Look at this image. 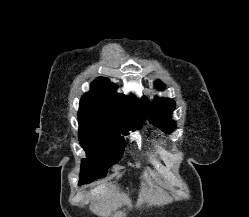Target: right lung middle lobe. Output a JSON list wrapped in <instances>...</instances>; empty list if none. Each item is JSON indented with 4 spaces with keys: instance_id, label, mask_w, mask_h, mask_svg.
I'll return each instance as SVG.
<instances>
[{
    "instance_id": "right-lung-middle-lobe-1",
    "label": "right lung middle lobe",
    "mask_w": 249,
    "mask_h": 217,
    "mask_svg": "<svg viewBox=\"0 0 249 217\" xmlns=\"http://www.w3.org/2000/svg\"><path fill=\"white\" fill-rule=\"evenodd\" d=\"M78 122L80 144L87 154L82 159L80 184L105 176L108 168L123 155L125 139L121 134L128 135L130 130L141 127V124L130 127L111 116L84 108H79Z\"/></svg>"
}]
</instances>
